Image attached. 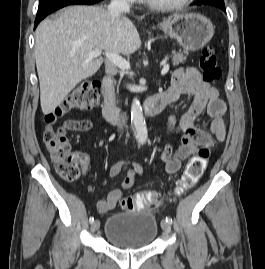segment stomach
I'll list each match as a JSON object with an SVG mask.
<instances>
[{"instance_id": "1", "label": "stomach", "mask_w": 265, "mask_h": 269, "mask_svg": "<svg viewBox=\"0 0 265 269\" xmlns=\"http://www.w3.org/2000/svg\"><path fill=\"white\" fill-rule=\"evenodd\" d=\"M159 27L189 51L203 48L214 34L212 22L197 13L173 14L164 19Z\"/></svg>"}]
</instances>
